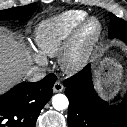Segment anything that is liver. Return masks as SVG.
<instances>
[{
	"label": "liver",
	"instance_id": "obj_1",
	"mask_svg": "<svg viewBox=\"0 0 127 127\" xmlns=\"http://www.w3.org/2000/svg\"><path fill=\"white\" fill-rule=\"evenodd\" d=\"M32 64V57L22 41L0 27V95L19 83Z\"/></svg>",
	"mask_w": 127,
	"mask_h": 127
}]
</instances>
